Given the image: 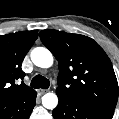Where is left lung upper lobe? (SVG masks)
Masks as SVG:
<instances>
[{
  "mask_svg": "<svg viewBox=\"0 0 119 119\" xmlns=\"http://www.w3.org/2000/svg\"><path fill=\"white\" fill-rule=\"evenodd\" d=\"M40 38L58 61V96L115 109L118 83L112 63L93 39L51 29L42 30Z\"/></svg>",
  "mask_w": 119,
  "mask_h": 119,
  "instance_id": "1",
  "label": "left lung upper lobe"
}]
</instances>
